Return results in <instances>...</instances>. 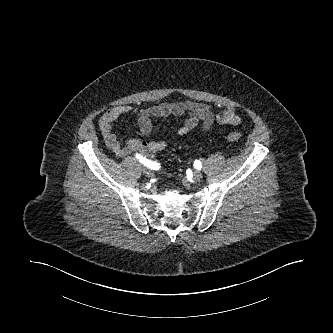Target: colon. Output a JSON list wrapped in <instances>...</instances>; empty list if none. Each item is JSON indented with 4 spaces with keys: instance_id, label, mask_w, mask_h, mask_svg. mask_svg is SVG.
<instances>
[{
    "instance_id": "colon-1",
    "label": "colon",
    "mask_w": 333,
    "mask_h": 333,
    "mask_svg": "<svg viewBox=\"0 0 333 333\" xmlns=\"http://www.w3.org/2000/svg\"><path fill=\"white\" fill-rule=\"evenodd\" d=\"M227 139L232 141V142H238L241 140V134L236 131L229 132L227 134Z\"/></svg>"
}]
</instances>
